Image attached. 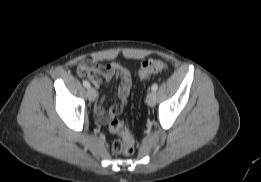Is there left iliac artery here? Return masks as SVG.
<instances>
[{
  "mask_svg": "<svg viewBox=\"0 0 261 182\" xmlns=\"http://www.w3.org/2000/svg\"><path fill=\"white\" fill-rule=\"evenodd\" d=\"M152 91H156L158 89V84L154 83L151 87Z\"/></svg>",
  "mask_w": 261,
  "mask_h": 182,
  "instance_id": "obj_1",
  "label": "left iliac artery"
}]
</instances>
